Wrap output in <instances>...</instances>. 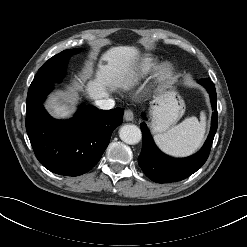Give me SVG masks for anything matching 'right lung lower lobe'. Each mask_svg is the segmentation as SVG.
Masks as SVG:
<instances>
[{"label":"right lung lower lobe","instance_id":"1","mask_svg":"<svg viewBox=\"0 0 247 247\" xmlns=\"http://www.w3.org/2000/svg\"><path fill=\"white\" fill-rule=\"evenodd\" d=\"M30 86L26 102V130L39 162L49 171L78 176L91 170L101 159L113 130L122 123L124 110L80 107L74 118H51L42 102L53 89Z\"/></svg>","mask_w":247,"mask_h":247}]
</instances>
